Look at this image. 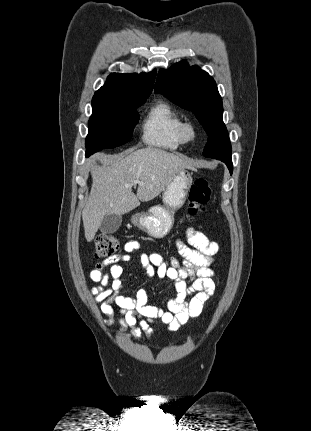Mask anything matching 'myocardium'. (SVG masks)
<instances>
[{
  "mask_svg": "<svg viewBox=\"0 0 311 431\" xmlns=\"http://www.w3.org/2000/svg\"><path fill=\"white\" fill-rule=\"evenodd\" d=\"M201 132L199 123L194 119H187L181 124V135L186 142L195 141Z\"/></svg>",
  "mask_w": 311,
  "mask_h": 431,
  "instance_id": "1",
  "label": "myocardium"
}]
</instances>
